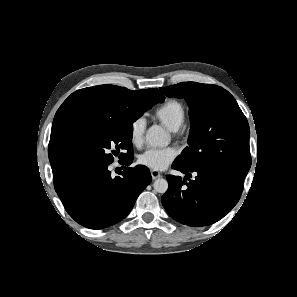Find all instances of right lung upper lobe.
<instances>
[{
    "mask_svg": "<svg viewBox=\"0 0 297 297\" xmlns=\"http://www.w3.org/2000/svg\"><path fill=\"white\" fill-rule=\"evenodd\" d=\"M144 94L165 99L157 88L132 91L115 85H99L77 90L63 102L55 114L48 147L54 185L61 183L72 171L62 153L68 131L83 121L125 115L131 111L132 102Z\"/></svg>",
    "mask_w": 297,
    "mask_h": 297,
    "instance_id": "right-lung-upper-lobe-1",
    "label": "right lung upper lobe"
}]
</instances>
